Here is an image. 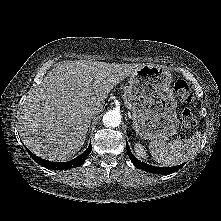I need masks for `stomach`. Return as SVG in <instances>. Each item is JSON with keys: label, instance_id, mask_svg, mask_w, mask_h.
<instances>
[{"label": "stomach", "instance_id": "stomach-1", "mask_svg": "<svg viewBox=\"0 0 221 221\" xmlns=\"http://www.w3.org/2000/svg\"><path fill=\"white\" fill-rule=\"evenodd\" d=\"M171 83V72L161 65H143L131 74L123 99L141 138L160 140L176 134L179 121Z\"/></svg>", "mask_w": 221, "mask_h": 221}]
</instances>
